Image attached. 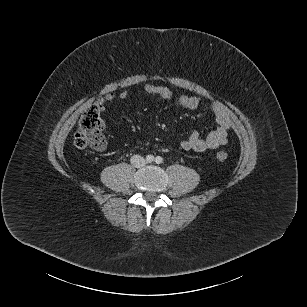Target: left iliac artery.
<instances>
[{"label": "left iliac artery", "mask_w": 307, "mask_h": 307, "mask_svg": "<svg viewBox=\"0 0 307 307\" xmlns=\"http://www.w3.org/2000/svg\"><path fill=\"white\" fill-rule=\"evenodd\" d=\"M155 162H156L157 164H161V163L163 162V158H162L161 156H157V157L155 158Z\"/></svg>", "instance_id": "obj_1"}]
</instances>
